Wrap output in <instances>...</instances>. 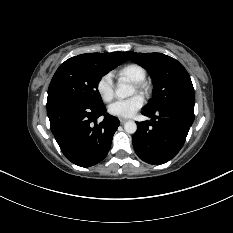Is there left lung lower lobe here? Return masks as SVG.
Masks as SVG:
<instances>
[{
	"mask_svg": "<svg viewBox=\"0 0 233 233\" xmlns=\"http://www.w3.org/2000/svg\"><path fill=\"white\" fill-rule=\"evenodd\" d=\"M151 121L137 123L132 143L138 157L149 164H164L182 148L194 121V110L180 106L144 109Z\"/></svg>",
	"mask_w": 233,
	"mask_h": 233,
	"instance_id": "obj_1",
	"label": "left lung lower lobe"
}]
</instances>
